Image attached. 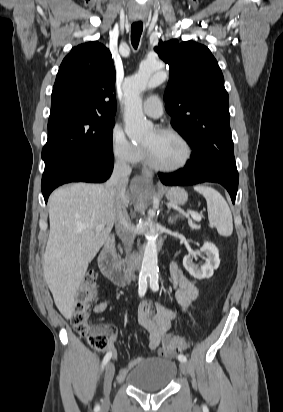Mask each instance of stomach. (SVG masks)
<instances>
[{"mask_svg":"<svg viewBox=\"0 0 283 412\" xmlns=\"http://www.w3.org/2000/svg\"><path fill=\"white\" fill-rule=\"evenodd\" d=\"M165 196L170 203L176 205L184 204L188 199L187 192L180 187H171L165 191Z\"/></svg>","mask_w":283,"mask_h":412,"instance_id":"0dacf381","label":"stomach"}]
</instances>
